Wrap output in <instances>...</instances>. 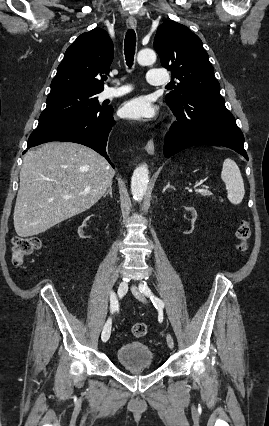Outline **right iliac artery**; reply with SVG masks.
<instances>
[{"label":"right iliac artery","mask_w":269,"mask_h":426,"mask_svg":"<svg viewBox=\"0 0 269 426\" xmlns=\"http://www.w3.org/2000/svg\"><path fill=\"white\" fill-rule=\"evenodd\" d=\"M110 303H111L110 308L112 313L119 309L118 300L114 292L110 293Z\"/></svg>","instance_id":"82829eb1"}]
</instances>
